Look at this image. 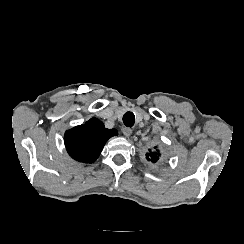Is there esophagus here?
<instances>
[{"mask_svg": "<svg viewBox=\"0 0 244 244\" xmlns=\"http://www.w3.org/2000/svg\"><path fill=\"white\" fill-rule=\"evenodd\" d=\"M123 134L126 137H129L132 134V130L130 128H128V127H125V128H123Z\"/></svg>", "mask_w": 244, "mask_h": 244, "instance_id": "obj_1", "label": "esophagus"}]
</instances>
